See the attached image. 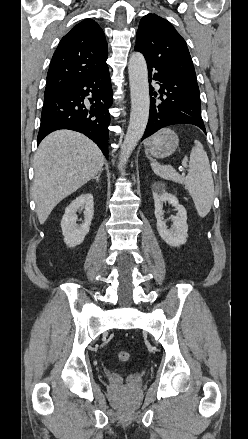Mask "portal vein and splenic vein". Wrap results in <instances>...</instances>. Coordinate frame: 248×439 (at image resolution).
<instances>
[{"label": "portal vein and splenic vein", "instance_id": "18ae733b", "mask_svg": "<svg viewBox=\"0 0 248 439\" xmlns=\"http://www.w3.org/2000/svg\"><path fill=\"white\" fill-rule=\"evenodd\" d=\"M179 170H180V171H183V170H184V168H183V167L181 166V167H179Z\"/></svg>", "mask_w": 248, "mask_h": 439}]
</instances>
